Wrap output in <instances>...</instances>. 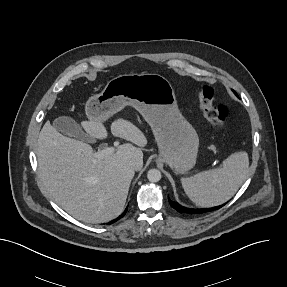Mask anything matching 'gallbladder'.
Wrapping results in <instances>:
<instances>
[{"mask_svg": "<svg viewBox=\"0 0 287 287\" xmlns=\"http://www.w3.org/2000/svg\"><path fill=\"white\" fill-rule=\"evenodd\" d=\"M53 127L70 137L77 138L82 141L91 142L92 138L84 133L82 127L71 117L61 116L53 121Z\"/></svg>", "mask_w": 287, "mask_h": 287, "instance_id": "gallbladder-1", "label": "gallbladder"}]
</instances>
